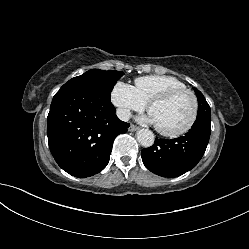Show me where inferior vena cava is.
<instances>
[{"label": "inferior vena cava", "instance_id": "inferior-vena-cava-1", "mask_svg": "<svg viewBox=\"0 0 249 249\" xmlns=\"http://www.w3.org/2000/svg\"><path fill=\"white\" fill-rule=\"evenodd\" d=\"M118 118L122 121H128L130 118V112L126 109H118L116 112Z\"/></svg>", "mask_w": 249, "mask_h": 249}]
</instances>
